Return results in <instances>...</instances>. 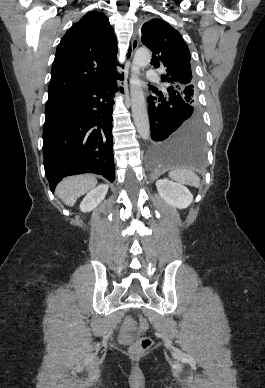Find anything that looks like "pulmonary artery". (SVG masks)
<instances>
[{
  "mask_svg": "<svg viewBox=\"0 0 265 388\" xmlns=\"http://www.w3.org/2000/svg\"><path fill=\"white\" fill-rule=\"evenodd\" d=\"M154 68L153 66L151 67ZM149 79L151 82H162V75H158V72H149Z\"/></svg>",
  "mask_w": 265,
  "mask_h": 388,
  "instance_id": "pulmonary-artery-1",
  "label": "pulmonary artery"
}]
</instances>
